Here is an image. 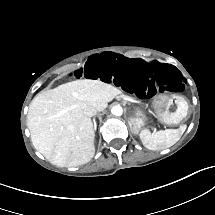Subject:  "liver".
Here are the masks:
<instances>
[{
    "instance_id": "6515ba94",
    "label": "liver",
    "mask_w": 215,
    "mask_h": 215,
    "mask_svg": "<svg viewBox=\"0 0 215 215\" xmlns=\"http://www.w3.org/2000/svg\"><path fill=\"white\" fill-rule=\"evenodd\" d=\"M118 88L100 80L82 79L42 91L30 103L27 126L34 148L51 163L76 167L95 154L94 129L85 116L86 106L98 112L121 94Z\"/></svg>"
}]
</instances>
